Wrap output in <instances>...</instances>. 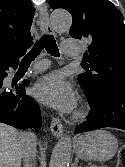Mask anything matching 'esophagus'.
<instances>
[{
	"instance_id": "1",
	"label": "esophagus",
	"mask_w": 125,
	"mask_h": 167,
	"mask_svg": "<svg viewBox=\"0 0 125 167\" xmlns=\"http://www.w3.org/2000/svg\"><path fill=\"white\" fill-rule=\"evenodd\" d=\"M40 13L38 25L42 33L44 34H54L53 27L50 24L48 5L45 3ZM51 132L56 137H61L63 135V125L58 118H53L50 124Z\"/></svg>"
}]
</instances>
